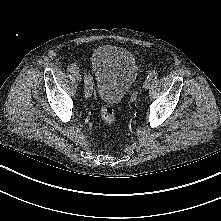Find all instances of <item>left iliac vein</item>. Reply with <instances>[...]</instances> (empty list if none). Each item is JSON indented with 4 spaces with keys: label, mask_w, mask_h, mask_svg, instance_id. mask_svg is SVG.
I'll use <instances>...</instances> for the list:
<instances>
[{
    "label": "left iliac vein",
    "mask_w": 221,
    "mask_h": 221,
    "mask_svg": "<svg viewBox=\"0 0 221 221\" xmlns=\"http://www.w3.org/2000/svg\"><path fill=\"white\" fill-rule=\"evenodd\" d=\"M149 87H150V80L147 79V80H145V82H144V84H143V88H144V89H148Z\"/></svg>",
    "instance_id": "obj_1"
}]
</instances>
